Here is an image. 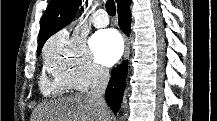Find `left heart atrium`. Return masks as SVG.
<instances>
[{
	"label": "left heart atrium",
	"instance_id": "39dd6f15",
	"mask_svg": "<svg viewBox=\"0 0 217 121\" xmlns=\"http://www.w3.org/2000/svg\"><path fill=\"white\" fill-rule=\"evenodd\" d=\"M90 45L96 59L106 66L114 64L123 51L121 37L114 30H102L95 33Z\"/></svg>",
	"mask_w": 217,
	"mask_h": 121
}]
</instances>
